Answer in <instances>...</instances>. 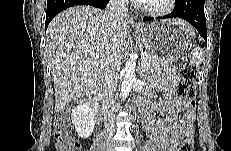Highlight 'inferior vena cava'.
<instances>
[{"mask_svg": "<svg viewBox=\"0 0 231 151\" xmlns=\"http://www.w3.org/2000/svg\"><path fill=\"white\" fill-rule=\"evenodd\" d=\"M128 0H110L106 8V17L115 31L124 24L128 15ZM121 56L117 51L108 57L106 62L104 76L102 80V114L104 117L107 132L112 135L114 132V111H115V92L117 90V75L120 68Z\"/></svg>", "mask_w": 231, "mask_h": 151, "instance_id": "obj_1", "label": "inferior vena cava"}]
</instances>
